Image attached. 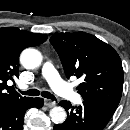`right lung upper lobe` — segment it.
<instances>
[{
  "label": "right lung upper lobe",
  "mask_w": 130,
  "mask_h": 130,
  "mask_svg": "<svg viewBox=\"0 0 130 130\" xmlns=\"http://www.w3.org/2000/svg\"><path fill=\"white\" fill-rule=\"evenodd\" d=\"M47 35L34 34L16 27L0 28V103L18 100L22 97L7 81L18 77L19 55L26 47L39 45Z\"/></svg>",
  "instance_id": "cb5924a9"
}]
</instances>
